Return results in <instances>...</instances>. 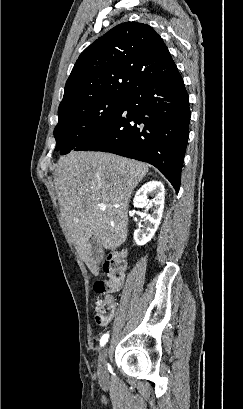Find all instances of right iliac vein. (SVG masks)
Instances as JSON below:
<instances>
[{
  "mask_svg": "<svg viewBox=\"0 0 243 409\" xmlns=\"http://www.w3.org/2000/svg\"><path fill=\"white\" fill-rule=\"evenodd\" d=\"M108 349L105 348L100 354L98 361V375L101 379L106 377V358H107Z\"/></svg>",
  "mask_w": 243,
  "mask_h": 409,
  "instance_id": "63e3f726",
  "label": "right iliac vein"
}]
</instances>
